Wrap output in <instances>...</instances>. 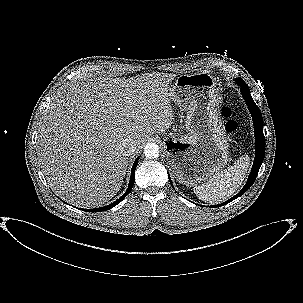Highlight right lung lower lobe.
I'll list each match as a JSON object with an SVG mask.
<instances>
[{
  "label": "right lung lower lobe",
  "mask_w": 303,
  "mask_h": 303,
  "mask_svg": "<svg viewBox=\"0 0 303 303\" xmlns=\"http://www.w3.org/2000/svg\"><path fill=\"white\" fill-rule=\"evenodd\" d=\"M138 159H139V157L135 160V162L132 166L131 177H130V182H129L128 189L118 200H116L115 202H113V203H111L107 206H104V207H100V208H96V209H84V210L89 211V212H101V211L109 210L112 207L116 206L118 203H120L132 190V187H133V184H134V174H135V169H136L137 164H138Z\"/></svg>",
  "instance_id": "1"
}]
</instances>
